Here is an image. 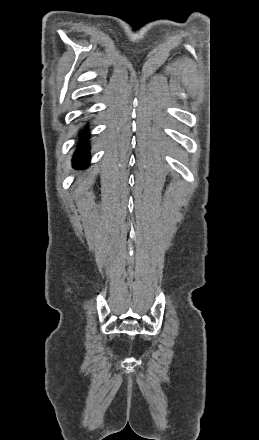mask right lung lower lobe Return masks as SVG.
<instances>
[{
    "label": "right lung lower lobe",
    "mask_w": 259,
    "mask_h": 440,
    "mask_svg": "<svg viewBox=\"0 0 259 440\" xmlns=\"http://www.w3.org/2000/svg\"><path fill=\"white\" fill-rule=\"evenodd\" d=\"M84 134V132L82 133ZM89 145L87 143V140L84 139L78 148V151L75 153V156L73 158V165L76 168H83L88 165L89 163Z\"/></svg>",
    "instance_id": "1"
}]
</instances>
